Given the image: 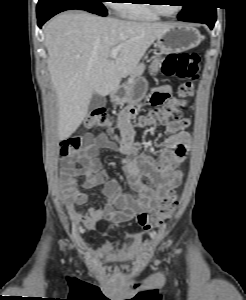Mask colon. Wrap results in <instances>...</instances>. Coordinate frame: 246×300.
Wrapping results in <instances>:
<instances>
[{
	"label": "colon",
	"mask_w": 246,
	"mask_h": 300,
	"mask_svg": "<svg viewBox=\"0 0 246 300\" xmlns=\"http://www.w3.org/2000/svg\"><path fill=\"white\" fill-rule=\"evenodd\" d=\"M162 73L166 77H176L186 81L179 85L177 95L173 99L169 100L166 95L161 93L154 94L152 102L155 107L138 118L137 125L139 127L163 123L168 119L179 120L181 118V109L184 106L182 104L183 98L192 95L194 85L199 79V56L188 52L170 55L163 61ZM85 125L87 128H109L111 120L104 108H96L90 112ZM82 143L81 137H70L62 143L59 153L61 156L74 154ZM176 206L177 194L175 191L169 190L157 207L140 213L136 222L143 229L161 226L171 217Z\"/></svg>",
	"instance_id": "5ec220e1"
}]
</instances>
